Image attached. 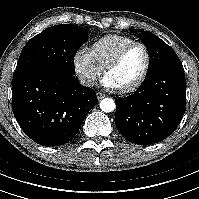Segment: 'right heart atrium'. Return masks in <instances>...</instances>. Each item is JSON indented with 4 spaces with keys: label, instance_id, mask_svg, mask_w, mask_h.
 Masks as SVG:
<instances>
[{
    "label": "right heart atrium",
    "instance_id": "d8ad5b80",
    "mask_svg": "<svg viewBox=\"0 0 199 199\" xmlns=\"http://www.w3.org/2000/svg\"><path fill=\"white\" fill-rule=\"evenodd\" d=\"M73 66L82 83L87 86H92L102 74V70L95 64L90 52L84 48L74 54Z\"/></svg>",
    "mask_w": 199,
    "mask_h": 199
}]
</instances>
